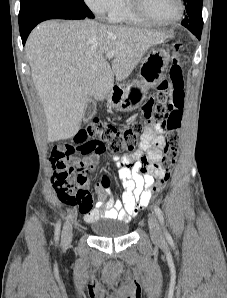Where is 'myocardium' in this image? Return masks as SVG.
I'll list each match as a JSON object with an SVG mask.
<instances>
[{
	"mask_svg": "<svg viewBox=\"0 0 227 298\" xmlns=\"http://www.w3.org/2000/svg\"><path fill=\"white\" fill-rule=\"evenodd\" d=\"M128 1H129L130 9L138 18L145 21L146 23L157 25V26L173 25L182 18L184 13L183 0H176L177 6H178L177 15L168 21H160L148 14L144 6V0H128Z\"/></svg>",
	"mask_w": 227,
	"mask_h": 298,
	"instance_id": "myocardium-1",
	"label": "myocardium"
}]
</instances>
